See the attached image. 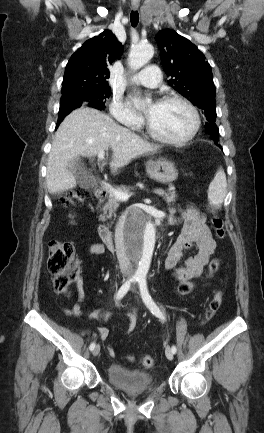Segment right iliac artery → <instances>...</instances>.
Listing matches in <instances>:
<instances>
[{"label":"right iliac artery","mask_w":264,"mask_h":433,"mask_svg":"<svg viewBox=\"0 0 264 433\" xmlns=\"http://www.w3.org/2000/svg\"><path fill=\"white\" fill-rule=\"evenodd\" d=\"M138 281V277H132L129 280H127L119 289L118 293L116 294V299L119 300L124 297V295L128 292L131 285L133 283H136ZM95 348V343L92 342L89 346V349L92 351Z\"/></svg>","instance_id":"1"}]
</instances>
